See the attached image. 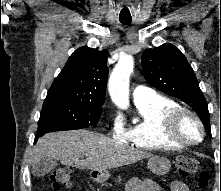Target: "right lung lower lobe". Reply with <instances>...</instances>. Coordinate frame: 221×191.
Returning a JSON list of instances; mask_svg holds the SVG:
<instances>
[{
	"mask_svg": "<svg viewBox=\"0 0 221 191\" xmlns=\"http://www.w3.org/2000/svg\"><path fill=\"white\" fill-rule=\"evenodd\" d=\"M38 137H39V136H37V135L35 136V141H34V143H36V141H37Z\"/></svg>",
	"mask_w": 221,
	"mask_h": 191,
	"instance_id": "1",
	"label": "right lung lower lobe"
}]
</instances>
